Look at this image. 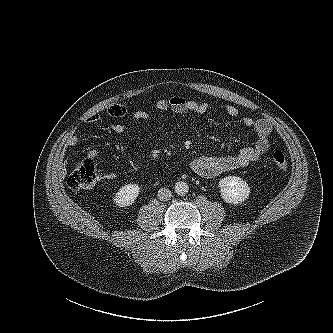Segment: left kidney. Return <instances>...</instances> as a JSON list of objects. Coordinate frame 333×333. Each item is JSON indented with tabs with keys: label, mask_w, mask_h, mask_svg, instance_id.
Segmentation results:
<instances>
[{
	"label": "left kidney",
	"mask_w": 333,
	"mask_h": 333,
	"mask_svg": "<svg viewBox=\"0 0 333 333\" xmlns=\"http://www.w3.org/2000/svg\"><path fill=\"white\" fill-rule=\"evenodd\" d=\"M221 196L226 203L237 205L247 200L250 187L239 177H224L219 182Z\"/></svg>",
	"instance_id": "5707ae66"
}]
</instances>
